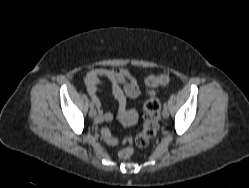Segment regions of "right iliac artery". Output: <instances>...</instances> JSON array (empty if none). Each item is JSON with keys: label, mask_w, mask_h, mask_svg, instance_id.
<instances>
[{"label": "right iliac artery", "mask_w": 249, "mask_h": 188, "mask_svg": "<svg viewBox=\"0 0 249 188\" xmlns=\"http://www.w3.org/2000/svg\"><path fill=\"white\" fill-rule=\"evenodd\" d=\"M95 99H92V102L90 103V108L94 107Z\"/></svg>", "instance_id": "right-iliac-artery-1"}]
</instances>
